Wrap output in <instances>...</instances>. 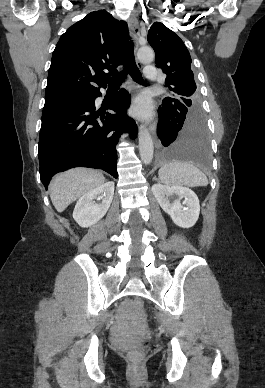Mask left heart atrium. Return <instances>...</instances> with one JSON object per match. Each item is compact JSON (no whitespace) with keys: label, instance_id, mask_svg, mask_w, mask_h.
Listing matches in <instances>:
<instances>
[{"label":"left heart atrium","instance_id":"left-heart-atrium-1","mask_svg":"<svg viewBox=\"0 0 265 388\" xmlns=\"http://www.w3.org/2000/svg\"><path fill=\"white\" fill-rule=\"evenodd\" d=\"M134 110L139 114H148L151 110L149 98L146 96L140 97L135 103Z\"/></svg>","mask_w":265,"mask_h":388}]
</instances>
